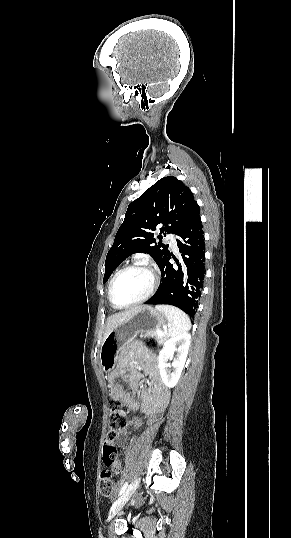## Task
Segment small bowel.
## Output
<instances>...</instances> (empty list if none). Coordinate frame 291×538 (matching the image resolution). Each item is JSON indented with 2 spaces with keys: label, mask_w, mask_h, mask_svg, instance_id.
<instances>
[{
  "label": "small bowel",
  "mask_w": 291,
  "mask_h": 538,
  "mask_svg": "<svg viewBox=\"0 0 291 538\" xmlns=\"http://www.w3.org/2000/svg\"><path fill=\"white\" fill-rule=\"evenodd\" d=\"M140 371L148 378L150 387L141 395V403H138L133 395L129 393L124 386L119 383L123 378L133 392H137L139 387ZM108 387L111 399L121 402L127 409L139 412L144 418L150 420L154 418L155 413L160 409L161 403L167 396V390L162 385L158 363L153 357H143L135 359L127 352L120 357L119 365H112L108 373ZM132 425L139 427L142 425V418H133ZM117 443L120 447L125 448L127 445L126 432L120 431L117 435ZM113 472L120 473L121 464L116 462L111 468Z\"/></svg>",
  "instance_id": "c3829d8e"
}]
</instances>
